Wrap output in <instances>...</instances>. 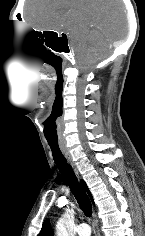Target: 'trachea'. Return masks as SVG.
<instances>
[{"instance_id": "obj_1", "label": "trachea", "mask_w": 145, "mask_h": 236, "mask_svg": "<svg viewBox=\"0 0 145 236\" xmlns=\"http://www.w3.org/2000/svg\"><path fill=\"white\" fill-rule=\"evenodd\" d=\"M48 144L51 148L54 161L67 185L70 187L74 197L76 198L79 207L86 216L92 215V204L87 196L86 192L80 185L72 167L67 162L66 158L62 154L58 142H50Z\"/></svg>"}]
</instances>
